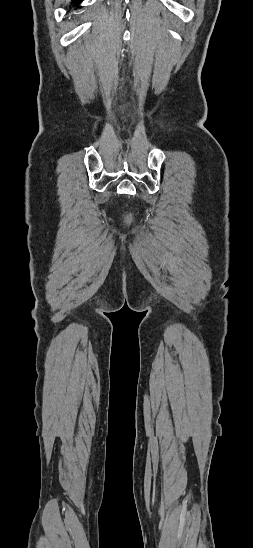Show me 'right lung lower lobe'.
I'll use <instances>...</instances> for the list:
<instances>
[{
  "mask_svg": "<svg viewBox=\"0 0 253 548\" xmlns=\"http://www.w3.org/2000/svg\"><path fill=\"white\" fill-rule=\"evenodd\" d=\"M81 1L82 0H72V4L77 7L81 3Z\"/></svg>",
  "mask_w": 253,
  "mask_h": 548,
  "instance_id": "1",
  "label": "right lung lower lobe"
}]
</instances>
